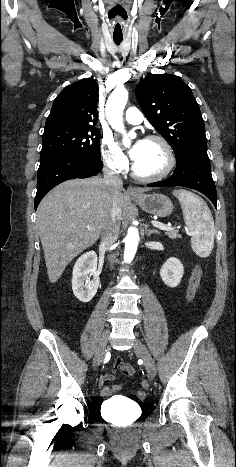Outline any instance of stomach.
Instances as JSON below:
<instances>
[{
    "instance_id": "obj_1",
    "label": "stomach",
    "mask_w": 236,
    "mask_h": 467,
    "mask_svg": "<svg viewBox=\"0 0 236 467\" xmlns=\"http://www.w3.org/2000/svg\"><path fill=\"white\" fill-rule=\"evenodd\" d=\"M145 212L159 217H167L173 211L171 200L162 194H143L132 198Z\"/></svg>"
}]
</instances>
